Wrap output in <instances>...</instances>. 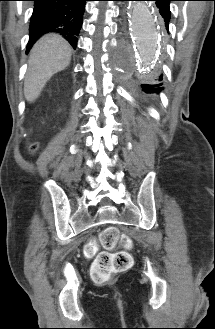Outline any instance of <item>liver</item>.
Wrapping results in <instances>:
<instances>
[{"label":"liver","mask_w":215,"mask_h":329,"mask_svg":"<svg viewBox=\"0 0 215 329\" xmlns=\"http://www.w3.org/2000/svg\"><path fill=\"white\" fill-rule=\"evenodd\" d=\"M72 48L60 35L49 33L33 46L24 82L28 102H34L50 78L64 70L70 63Z\"/></svg>","instance_id":"1"}]
</instances>
